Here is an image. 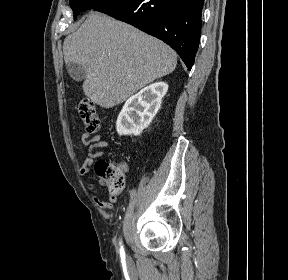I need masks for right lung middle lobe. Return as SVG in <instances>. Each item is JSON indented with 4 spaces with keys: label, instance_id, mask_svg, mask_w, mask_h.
<instances>
[{
    "label": "right lung middle lobe",
    "instance_id": "dd1d6c3e",
    "mask_svg": "<svg viewBox=\"0 0 288 280\" xmlns=\"http://www.w3.org/2000/svg\"><path fill=\"white\" fill-rule=\"evenodd\" d=\"M109 1L111 0H70L69 3L74 12V19H76L80 12L93 9Z\"/></svg>",
    "mask_w": 288,
    "mask_h": 280
}]
</instances>
